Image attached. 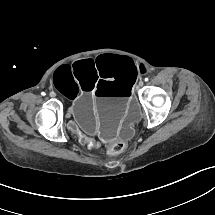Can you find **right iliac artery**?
<instances>
[{
	"instance_id": "82829eb1",
	"label": "right iliac artery",
	"mask_w": 215,
	"mask_h": 215,
	"mask_svg": "<svg viewBox=\"0 0 215 215\" xmlns=\"http://www.w3.org/2000/svg\"><path fill=\"white\" fill-rule=\"evenodd\" d=\"M41 95H42V96H45V95H46V93H45V92H42V93H41Z\"/></svg>"
}]
</instances>
